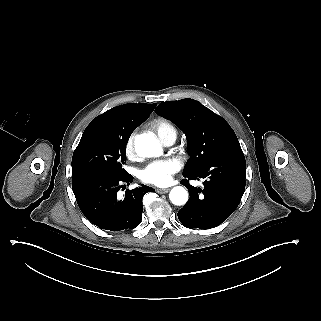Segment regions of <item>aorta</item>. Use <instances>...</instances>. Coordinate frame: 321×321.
<instances>
[{"label": "aorta", "instance_id": "aorta-1", "mask_svg": "<svg viewBox=\"0 0 321 321\" xmlns=\"http://www.w3.org/2000/svg\"><path fill=\"white\" fill-rule=\"evenodd\" d=\"M135 150L140 156L152 157L162 153L160 143L148 134H140L135 139ZM170 201L177 206L184 205L188 200V192L184 187L176 186L169 194Z\"/></svg>", "mask_w": 321, "mask_h": 321}]
</instances>
